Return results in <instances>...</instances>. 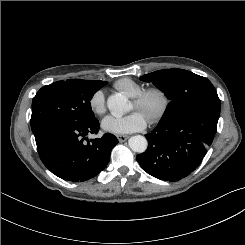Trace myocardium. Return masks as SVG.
Here are the masks:
<instances>
[{"mask_svg": "<svg viewBox=\"0 0 245 245\" xmlns=\"http://www.w3.org/2000/svg\"><path fill=\"white\" fill-rule=\"evenodd\" d=\"M153 98H157L160 104L155 112L150 113L146 117L149 124H156L165 117L171 103L169 94L163 88L153 86L145 88L135 97H133V103L135 104L137 109L145 108L148 105L149 101Z\"/></svg>", "mask_w": 245, "mask_h": 245, "instance_id": "myocardium-1", "label": "myocardium"}]
</instances>
